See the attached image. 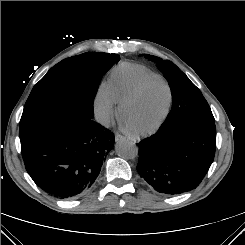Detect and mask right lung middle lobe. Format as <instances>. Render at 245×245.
<instances>
[{"label":"right lung middle lobe","instance_id":"1","mask_svg":"<svg viewBox=\"0 0 245 245\" xmlns=\"http://www.w3.org/2000/svg\"><path fill=\"white\" fill-rule=\"evenodd\" d=\"M86 60H92L94 65ZM119 60L118 54L86 52L52 67L27 99L20 120V141L63 121L92 119L102 75Z\"/></svg>","mask_w":245,"mask_h":245}]
</instances>
